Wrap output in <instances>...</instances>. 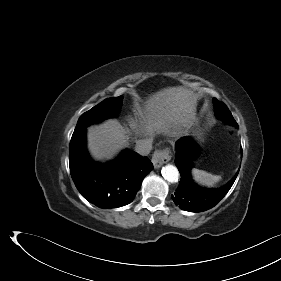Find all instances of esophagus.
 Segmentation results:
<instances>
[{
  "label": "esophagus",
  "instance_id": "1",
  "mask_svg": "<svg viewBox=\"0 0 281 281\" xmlns=\"http://www.w3.org/2000/svg\"><path fill=\"white\" fill-rule=\"evenodd\" d=\"M172 158L170 149L156 150L152 155V163L154 168L158 169L163 164L169 162Z\"/></svg>",
  "mask_w": 281,
  "mask_h": 281
}]
</instances>
